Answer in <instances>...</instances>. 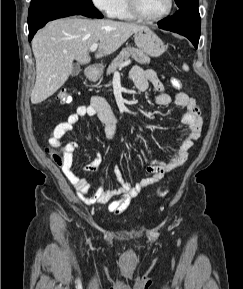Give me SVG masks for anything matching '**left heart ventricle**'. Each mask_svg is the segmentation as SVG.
<instances>
[{
  "instance_id": "obj_1",
  "label": "left heart ventricle",
  "mask_w": 243,
  "mask_h": 289,
  "mask_svg": "<svg viewBox=\"0 0 243 289\" xmlns=\"http://www.w3.org/2000/svg\"><path fill=\"white\" fill-rule=\"evenodd\" d=\"M141 11L147 16H157L164 13L169 0H138Z\"/></svg>"
}]
</instances>
